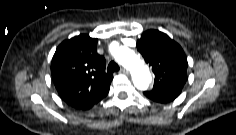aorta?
Masks as SVG:
<instances>
[{
	"instance_id": "1",
	"label": "aorta",
	"mask_w": 236,
	"mask_h": 135,
	"mask_svg": "<svg viewBox=\"0 0 236 135\" xmlns=\"http://www.w3.org/2000/svg\"><path fill=\"white\" fill-rule=\"evenodd\" d=\"M114 57L118 63L131 72L135 87L141 91L147 90L151 83V74L145 62L133 50L120 47Z\"/></svg>"
}]
</instances>
